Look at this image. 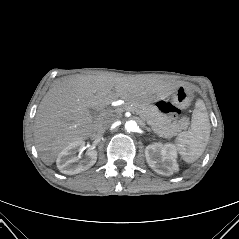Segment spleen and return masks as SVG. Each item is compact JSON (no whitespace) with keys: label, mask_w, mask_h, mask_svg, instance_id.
Returning <instances> with one entry per match:
<instances>
[{"label":"spleen","mask_w":239,"mask_h":239,"mask_svg":"<svg viewBox=\"0 0 239 239\" xmlns=\"http://www.w3.org/2000/svg\"><path fill=\"white\" fill-rule=\"evenodd\" d=\"M211 125L203 100L198 99L192 114L191 128L175 139L176 149L186 163L198 160L210 138Z\"/></svg>","instance_id":"spleen-1"}]
</instances>
